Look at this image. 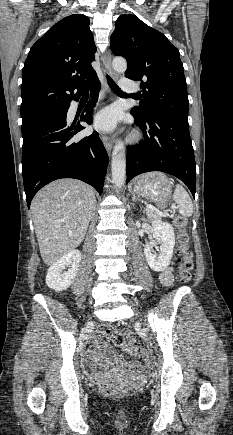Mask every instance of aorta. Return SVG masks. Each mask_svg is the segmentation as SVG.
<instances>
[{
    "instance_id": "762f6f07",
    "label": "aorta",
    "mask_w": 233,
    "mask_h": 435,
    "mask_svg": "<svg viewBox=\"0 0 233 435\" xmlns=\"http://www.w3.org/2000/svg\"><path fill=\"white\" fill-rule=\"evenodd\" d=\"M113 68L116 72H125L127 62L123 58H115L113 60ZM126 175V153L124 143L118 141L112 153V180L117 189H121L125 183Z\"/></svg>"
}]
</instances>
